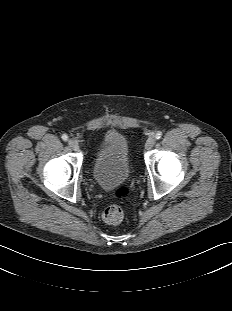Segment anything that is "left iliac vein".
<instances>
[{
  "label": "left iliac vein",
  "mask_w": 232,
  "mask_h": 311,
  "mask_svg": "<svg viewBox=\"0 0 232 311\" xmlns=\"http://www.w3.org/2000/svg\"><path fill=\"white\" fill-rule=\"evenodd\" d=\"M156 139L154 137H150L145 143V149L150 150L155 145Z\"/></svg>",
  "instance_id": "left-iliac-vein-1"
}]
</instances>
